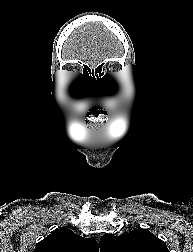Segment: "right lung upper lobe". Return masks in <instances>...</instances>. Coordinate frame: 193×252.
Here are the masks:
<instances>
[{
    "label": "right lung upper lobe",
    "mask_w": 193,
    "mask_h": 252,
    "mask_svg": "<svg viewBox=\"0 0 193 252\" xmlns=\"http://www.w3.org/2000/svg\"><path fill=\"white\" fill-rule=\"evenodd\" d=\"M33 252H99L94 239L84 238L63 227L40 241Z\"/></svg>",
    "instance_id": "1"
}]
</instances>
